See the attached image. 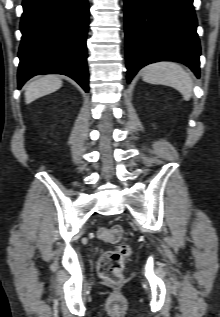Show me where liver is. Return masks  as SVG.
Instances as JSON below:
<instances>
[{
	"label": "liver",
	"instance_id": "1",
	"mask_svg": "<svg viewBox=\"0 0 220 317\" xmlns=\"http://www.w3.org/2000/svg\"><path fill=\"white\" fill-rule=\"evenodd\" d=\"M61 86L62 81L56 75L40 76L26 86L25 102L29 104L40 97L57 91Z\"/></svg>",
	"mask_w": 220,
	"mask_h": 317
}]
</instances>
